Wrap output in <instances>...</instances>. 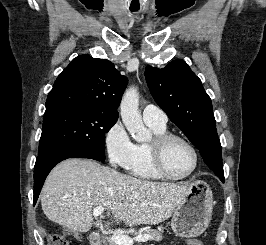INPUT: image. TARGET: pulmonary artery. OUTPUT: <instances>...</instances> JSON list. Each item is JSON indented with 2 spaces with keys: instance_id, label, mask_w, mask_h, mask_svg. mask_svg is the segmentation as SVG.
<instances>
[{
  "instance_id": "pulmonary-artery-1",
  "label": "pulmonary artery",
  "mask_w": 266,
  "mask_h": 245,
  "mask_svg": "<svg viewBox=\"0 0 266 245\" xmlns=\"http://www.w3.org/2000/svg\"><path fill=\"white\" fill-rule=\"evenodd\" d=\"M143 119L146 123L166 125L168 118L164 111L154 105H147L143 108Z\"/></svg>"
}]
</instances>
